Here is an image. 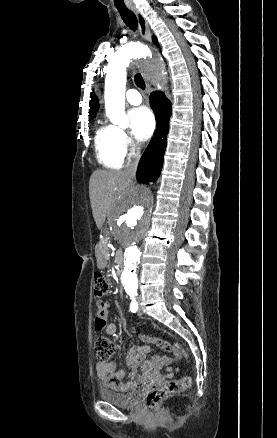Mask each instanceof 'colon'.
<instances>
[{
    "label": "colon",
    "mask_w": 277,
    "mask_h": 438,
    "mask_svg": "<svg viewBox=\"0 0 277 438\" xmlns=\"http://www.w3.org/2000/svg\"><path fill=\"white\" fill-rule=\"evenodd\" d=\"M94 283V298L97 301L96 320L104 326L107 323L108 304L103 299L109 292V286L104 274L100 271L95 272ZM155 343L171 351L178 359L187 357L186 352L178 346H172L161 340H157ZM95 348L98 360L106 361L115 352L116 347L107 335L101 334L95 338ZM190 384L191 378L189 376L166 380L162 389H150L149 393H145V409H160V402H164L165 398H176L177 394L188 388Z\"/></svg>",
    "instance_id": "5ec220e1"
}]
</instances>
